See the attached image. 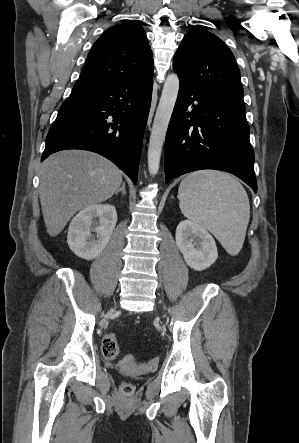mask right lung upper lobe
Listing matches in <instances>:
<instances>
[{"mask_svg":"<svg viewBox=\"0 0 299 443\" xmlns=\"http://www.w3.org/2000/svg\"><path fill=\"white\" fill-rule=\"evenodd\" d=\"M152 52L141 25L117 24L94 43L75 85H100L153 75Z\"/></svg>","mask_w":299,"mask_h":443,"instance_id":"cb5924a9","label":"right lung upper lobe"}]
</instances>
